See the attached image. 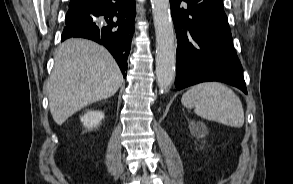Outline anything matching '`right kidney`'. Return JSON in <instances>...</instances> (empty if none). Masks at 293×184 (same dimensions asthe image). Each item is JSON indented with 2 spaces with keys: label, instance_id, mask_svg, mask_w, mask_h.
Instances as JSON below:
<instances>
[{
  "label": "right kidney",
  "instance_id": "right-kidney-1",
  "mask_svg": "<svg viewBox=\"0 0 293 184\" xmlns=\"http://www.w3.org/2000/svg\"><path fill=\"white\" fill-rule=\"evenodd\" d=\"M104 118V113L102 111H88L81 117V122L84 127L92 129L97 127L102 119Z\"/></svg>",
  "mask_w": 293,
  "mask_h": 184
}]
</instances>
